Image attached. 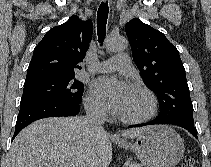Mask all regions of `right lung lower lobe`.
<instances>
[{"label": "right lung lower lobe", "mask_w": 211, "mask_h": 167, "mask_svg": "<svg viewBox=\"0 0 211 167\" xmlns=\"http://www.w3.org/2000/svg\"><path fill=\"white\" fill-rule=\"evenodd\" d=\"M80 103L81 101L78 103L49 102L21 106L13 139L24 127L38 119L77 115L80 111Z\"/></svg>", "instance_id": "right-lung-lower-lobe-1"}]
</instances>
